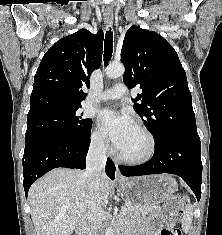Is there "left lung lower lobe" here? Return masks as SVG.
<instances>
[{
	"label": "left lung lower lobe",
	"mask_w": 222,
	"mask_h": 235,
	"mask_svg": "<svg viewBox=\"0 0 222 235\" xmlns=\"http://www.w3.org/2000/svg\"><path fill=\"white\" fill-rule=\"evenodd\" d=\"M124 176L169 173L180 176L201 197L202 162L200 139L177 135L155 145L152 159L139 166H119Z\"/></svg>",
	"instance_id": "1"
}]
</instances>
